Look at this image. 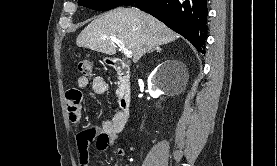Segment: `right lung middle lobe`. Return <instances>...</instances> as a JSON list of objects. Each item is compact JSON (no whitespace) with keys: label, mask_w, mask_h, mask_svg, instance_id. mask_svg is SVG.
<instances>
[{"label":"right lung middle lobe","mask_w":277,"mask_h":166,"mask_svg":"<svg viewBox=\"0 0 277 166\" xmlns=\"http://www.w3.org/2000/svg\"><path fill=\"white\" fill-rule=\"evenodd\" d=\"M126 0H78V4L95 10H109L121 6Z\"/></svg>","instance_id":"right-lung-middle-lobe-1"}]
</instances>
